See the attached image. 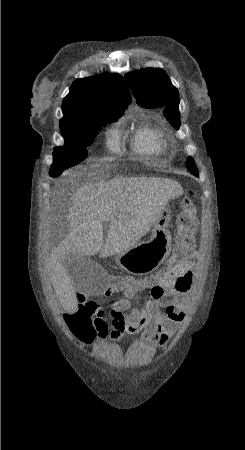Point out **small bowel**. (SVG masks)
<instances>
[{"mask_svg":"<svg viewBox=\"0 0 245 450\" xmlns=\"http://www.w3.org/2000/svg\"><path fill=\"white\" fill-rule=\"evenodd\" d=\"M194 256L195 253L183 262L168 266L152 280L145 281L136 288L125 289L124 298L111 304V329L106 322L99 321L95 325V338L100 342H116L126 333L142 331V339L153 348L166 345L185 317L188 304L186 293L194 279ZM158 284L163 288L162 293ZM143 291L148 296L140 302L139 294ZM111 294L108 290L98 298H108ZM76 309L74 299L65 300L62 306L64 318L73 314Z\"/></svg>","mask_w":245,"mask_h":450,"instance_id":"c3829d8e","label":"small bowel"}]
</instances>
